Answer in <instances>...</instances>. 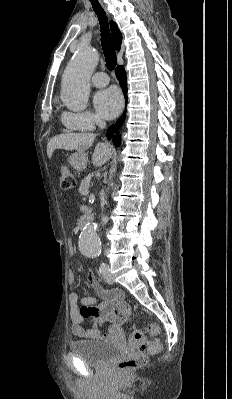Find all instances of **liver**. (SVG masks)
<instances>
[{
  "mask_svg": "<svg viewBox=\"0 0 232 399\" xmlns=\"http://www.w3.org/2000/svg\"><path fill=\"white\" fill-rule=\"evenodd\" d=\"M96 134H59V136H54L51 138L50 142L47 144V156L52 158L53 152L55 150H77V152H84L91 148ZM112 156L111 148L108 144H97L93 154H92V164L94 166H103Z\"/></svg>",
  "mask_w": 232,
  "mask_h": 399,
  "instance_id": "6515ba94",
  "label": "liver"
}]
</instances>
